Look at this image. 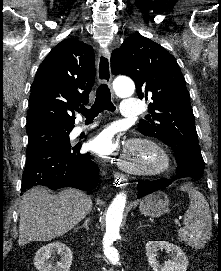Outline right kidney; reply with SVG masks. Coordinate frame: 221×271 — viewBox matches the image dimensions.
Segmentation results:
<instances>
[{"label":"right kidney","mask_w":221,"mask_h":271,"mask_svg":"<svg viewBox=\"0 0 221 271\" xmlns=\"http://www.w3.org/2000/svg\"><path fill=\"white\" fill-rule=\"evenodd\" d=\"M72 261L73 255L68 245L62 241H50L36 251L34 267L38 271H69Z\"/></svg>","instance_id":"ca27d5eb"}]
</instances>
